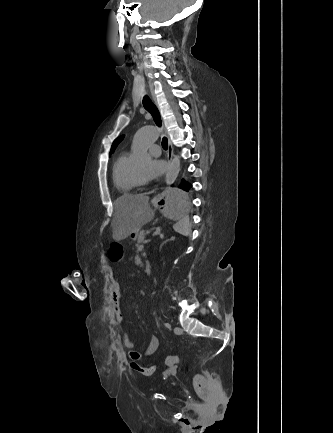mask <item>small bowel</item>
<instances>
[{"label":"small bowel","mask_w":333,"mask_h":433,"mask_svg":"<svg viewBox=\"0 0 333 433\" xmlns=\"http://www.w3.org/2000/svg\"><path fill=\"white\" fill-rule=\"evenodd\" d=\"M111 289H112L113 302L116 308L117 319L119 321H122L123 314L121 311V301H122L121 281H120V277L115 272H113L111 276ZM122 344L123 347L128 351V357L131 361V364L136 363L140 365L139 361L142 359L144 355L150 356L157 351L159 347V338L155 335L152 336L144 353L135 349L134 342L127 334L123 335ZM166 373L175 374L176 368H169Z\"/></svg>","instance_id":"c3829d8e"}]
</instances>
